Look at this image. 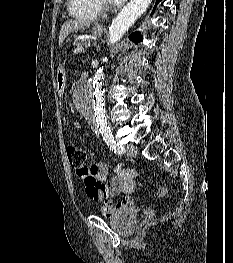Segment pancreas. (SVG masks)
Wrapping results in <instances>:
<instances>
[{
    "label": "pancreas",
    "instance_id": "cf45deb5",
    "mask_svg": "<svg viewBox=\"0 0 233 263\" xmlns=\"http://www.w3.org/2000/svg\"><path fill=\"white\" fill-rule=\"evenodd\" d=\"M90 45V40L88 39H83V40H76L74 41V46H76L77 48H87Z\"/></svg>",
    "mask_w": 233,
    "mask_h": 263
}]
</instances>
